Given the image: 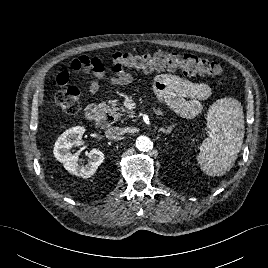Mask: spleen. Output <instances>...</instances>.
<instances>
[{
    "label": "spleen",
    "mask_w": 268,
    "mask_h": 268,
    "mask_svg": "<svg viewBox=\"0 0 268 268\" xmlns=\"http://www.w3.org/2000/svg\"><path fill=\"white\" fill-rule=\"evenodd\" d=\"M207 128L209 137L201 144L197 162L207 175L221 176L233 167L243 143L241 103L234 98L214 102L208 110Z\"/></svg>",
    "instance_id": "spleen-1"
}]
</instances>
